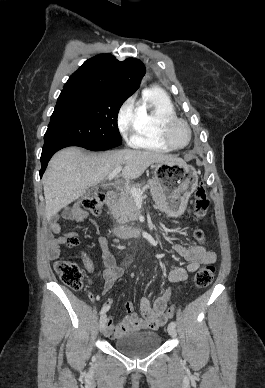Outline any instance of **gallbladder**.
<instances>
[{
	"label": "gallbladder",
	"mask_w": 265,
	"mask_h": 388,
	"mask_svg": "<svg viewBox=\"0 0 265 388\" xmlns=\"http://www.w3.org/2000/svg\"><path fill=\"white\" fill-rule=\"evenodd\" d=\"M94 190H97V188H91V190H88V194H91V192H94Z\"/></svg>",
	"instance_id": "bac80fb5"
}]
</instances>
